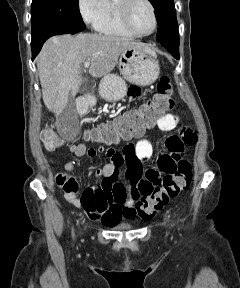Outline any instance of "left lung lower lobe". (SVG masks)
Returning a JSON list of instances; mask_svg holds the SVG:
<instances>
[{"mask_svg": "<svg viewBox=\"0 0 240 288\" xmlns=\"http://www.w3.org/2000/svg\"><path fill=\"white\" fill-rule=\"evenodd\" d=\"M165 48H167L175 58H179V42H160Z\"/></svg>", "mask_w": 240, "mask_h": 288, "instance_id": "left-lung-lower-lobe-1", "label": "left lung lower lobe"}]
</instances>
